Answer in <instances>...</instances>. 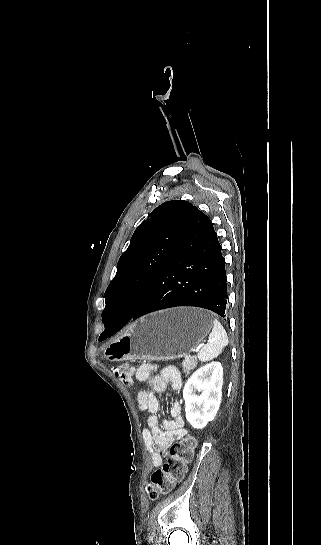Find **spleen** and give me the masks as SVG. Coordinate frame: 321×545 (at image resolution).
I'll return each instance as SVG.
<instances>
[{"instance_id":"1","label":"spleen","mask_w":321,"mask_h":545,"mask_svg":"<svg viewBox=\"0 0 321 545\" xmlns=\"http://www.w3.org/2000/svg\"><path fill=\"white\" fill-rule=\"evenodd\" d=\"M208 339L207 345H204L197 355L201 363H207V361L216 359L228 345L227 333L217 319L213 321V329Z\"/></svg>"}]
</instances>
